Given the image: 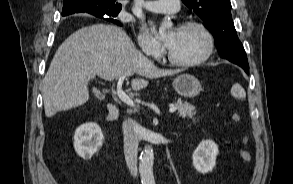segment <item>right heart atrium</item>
<instances>
[{"instance_id":"1","label":"right heart atrium","mask_w":293,"mask_h":184,"mask_svg":"<svg viewBox=\"0 0 293 184\" xmlns=\"http://www.w3.org/2000/svg\"><path fill=\"white\" fill-rule=\"evenodd\" d=\"M138 44L146 55L158 57L162 53V48L159 42L144 29L139 33Z\"/></svg>"}]
</instances>
